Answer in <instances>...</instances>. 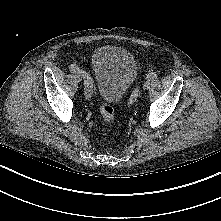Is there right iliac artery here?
<instances>
[{
    "mask_svg": "<svg viewBox=\"0 0 221 221\" xmlns=\"http://www.w3.org/2000/svg\"><path fill=\"white\" fill-rule=\"evenodd\" d=\"M69 71L72 73H79L80 69L77 65L71 64L69 66ZM84 76V94L87 99L92 97L93 94V81L92 78L86 73L82 72Z\"/></svg>",
    "mask_w": 221,
    "mask_h": 221,
    "instance_id": "obj_1",
    "label": "right iliac artery"
}]
</instances>
